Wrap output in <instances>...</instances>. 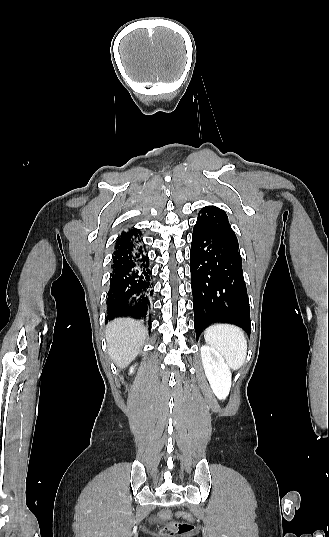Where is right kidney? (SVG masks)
Masks as SVG:
<instances>
[{
    "instance_id": "right-kidney-1",
    "label": "right kidney",
    "mask_w": 329,
    "mask_h": 537,
    "mask_svg": "<svg viewBox=\"0 0 329 537\" xmlns=\"http://www.w3.org/2000/svg\"><path fill=\"white\" fill-rule=\"evenodd\" d=\"M132 372H133V368L130 369V373H132Z\"/></svg>"
}]
</instances>
